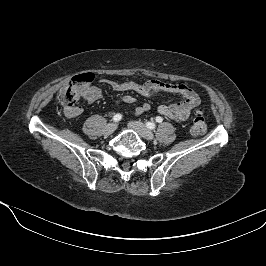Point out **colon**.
<instances>
[{
	"instance_id": "1",
	"label": "colon",
	"mask_w": 266,
	"mask_h": 266,
	"mask_svg": "<svg viewBox=\"0 0 266 266\" xmlns=\"http://www.w3.org/2000/svg\"><path fill=\"white\" fill-rule=\"evenodd\" d=\"M92 74H82L72 80L60 91L59 100L65 111L70 112L80 99L82 89L93 81ZM207 124L201 110L196 111L192 121L190 132L194 136L203 135L206 132Z\"/></svg>"
}]
</instances>
